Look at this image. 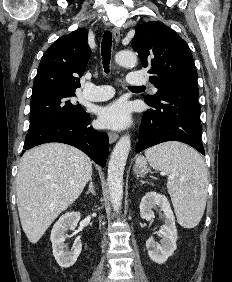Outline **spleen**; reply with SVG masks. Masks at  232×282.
I'll list each match as a JSON object with an SVG mask.
<instances>
[{
    "label": "spleen",
    "instance_id": "spleen-1",
    "mask_svg": "<svg viewBox=\"0 0 232 282\" xmlns=\"http://www.w3.org/2000/svg\"><path fill=\"white\" fill-rule=\"evenodd\" d=\"M149 162L154 169L171 173L167 189L177 220L184 228H193L200 222L207 199L208 171L202 157L192 148L177 142H168L145 151L136 166Z\"/></svg>",
    "mask_w": 232,
    "mask_h": 282
}]
</instances>
